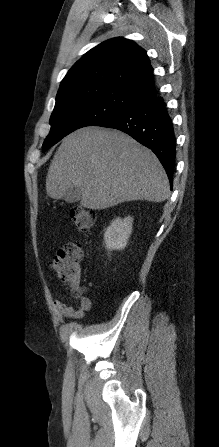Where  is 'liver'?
<instances>
[{
    "mask_svg": "<svg viewBox=\"0 0 219 447\" xmlns=\"http://www.w3.org/2000/svg\"><path fill=\"white\" fill-rule=\"evenodd\" d=\"M70 187L80 205L102 210L125 201L169 198L166 172L158 158L128 135L85 127L65 137L46 177L47 195L61 199Z\"/></svg>",
    "mask_w": 219,
    "mask_h": 447,
    "instance_id": "6515ba94",
    "label": "liver"
}]
</instances>
